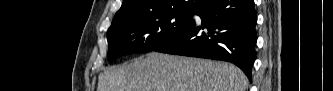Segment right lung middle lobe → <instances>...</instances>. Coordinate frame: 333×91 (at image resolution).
I'll return each mask as SVG.
<instances>
[{
	"label": "right lung middle lobe",
	"mask_w": 333,
	"mask_h": 91,
	"mask_svg": "<svg viewBox=\"0 0 333 91\" xmlns=\"http://www.w3.org/2000/svg\"><path fill=\"white\" fill-rule=\"evenodd\" d=\"M194 14L169 11L112 24L107 31L108 58L154 50L183 29Z\"/></svg>",
	"instance_id": "right-lung-middle-lobe-1"
}]
</instances>
